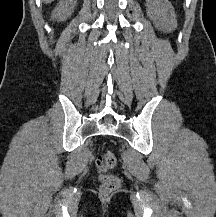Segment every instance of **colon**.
Segmentation results:
<instances>
[{
	"label": "colon",
	"mask_w": 216,
	"mask_h": 217,
	"mask_svg": "<svg viewBox=\"0 0 216 217\" xmlns=\"http://www.w3.org/2000/svg\"><path fill=\"white\" fill-rule=\"evenodd\" d=\"M117 159L115 154L110 150L101 152L96 159V168L100 180V192L102 195H109L116 191L121 184L120 178L116 175L109 174L108 171L115 168Z\"/></svg>",
	"instance_id": "obj_1"
}]
</instances>
